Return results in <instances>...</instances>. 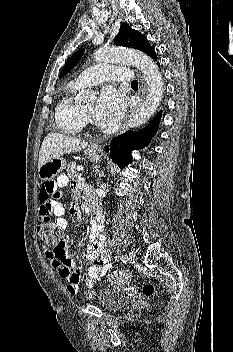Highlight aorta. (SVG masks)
Returning a JSON list of instances; mask_svg holds the SVG:
<instances>
[{"mask_svg": "<svg viewBox=\"0 0 233 352\" xmlns=\"http://www.w3.org/2000/svg\"><path fill=\"white\" fill-rule=\"evenodd\" d=\"M93 57L96 61L129 63L142 72L147 81V96L143 104L130 116L128 126L136 128L147 122L158 109L164 93L162 75L153 60L142 52L122 48H100ZM92 99L94 94L89 90H82L77 96L80 102Z\"/></svg>", "mask_w": 233, "mask_h": 352, "instance_id": "762f6f07", "label": "aorta"}]
</instances>
